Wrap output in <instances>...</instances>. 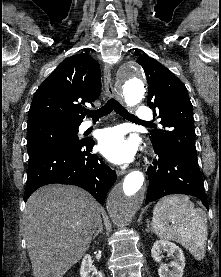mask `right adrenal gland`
Here are the masks:
<instances>
[{"instance_id": "2a0ac1e0", "label": "right adrenal gland", "mask_w": 221, "mask_h": 277, "mask_svg": "<svg viewBox=\"0 0 221 277\" xmlns=\"http://www.w3.org/2000/svg\"><path fill=\"white\" fill-rule=\"evenodd\" d=\"M99 233H103V225H102V221L100 222L99 226H98V230L95 232L94 236H93V240L96 238V236H98Z\"/></svg>"}]
</instances>
